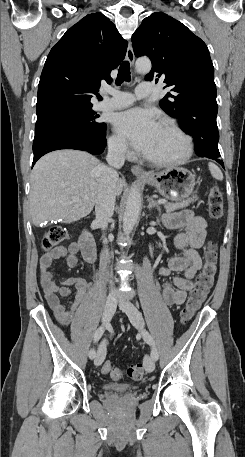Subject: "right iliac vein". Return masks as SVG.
I'll return each mask as SVG.
<instances>
[{
	"instance_id": "obj_1",
	"label": "right iliac vein",
	"mask_w": 245,
	"mask_h": 457,
	"mask_svg": "<svg viewBox=\"0 0 245 457\" xmlns=\"http://www.w3.org/2000/svg\"><path fill=\"white\" fill-rule=\"evenodd\" d=\"M116 305H117V299L115 297H111L106 301L105 306H104V311H103V322L104 323H108L111 320V318L113 317L114 312L116 310ZM105 355H106V344H105V342H102V344L99 346V348L97 350V356L94 360V364L96 366H99L100 364H102V362L105 359Z\"/></svg>"
}]
</instances>
